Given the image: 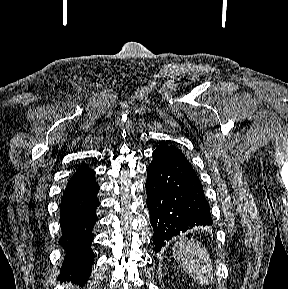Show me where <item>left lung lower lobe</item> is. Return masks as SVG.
<instances>
[{
    "mask_svg": "<svg viewBox=\"0 0 288 289\" xmlns=\"http://www.w3.org/2000/svg\"><path fill=\"white\" fill-rule=\"evenodd\" d=\"M152 157L146 192L157 253L166 240L213 220L203 186L185 155L174 145L161 144Z\"/></svg>",
    "mask_w": 288,
    "mask_h": 289,
    "instance_id": "0a47b994",
    "label": "left lung lower lobe"
}]
</instances>
